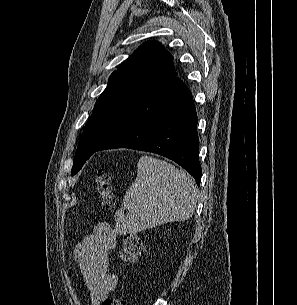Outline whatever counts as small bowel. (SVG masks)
<instances>
[{
  "label": "small bowel",
  "instance_id": "1",
  "mask_svg": "<svg viewBox=\"0 0 297 305\" xmlns=\"http://www.w3.org/2000/svg\"><path fill=\"white\" fill-rule=\"evenodd\" d=\"M116 243L117 234L110 224L100 222L74 248L73 262L82 273L92 305H102L118 287V276L110 271V253Z\"/></svg>",
  "mask_w": 297,
  "mask_h": 305
}]
</instances>
